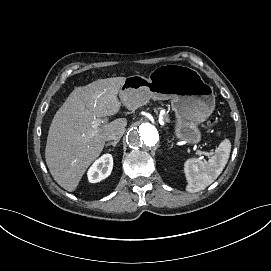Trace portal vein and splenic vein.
<instances>
[{"instance_id":"1","label":"portal vein and splenic vein","mask_w":271,"mask_h":271,"mask_svg":"<svg viewBox=\"0 0 271 271\" xmlns=\"http://www.w3.org/2000/svg\"><path fill=\"white\" fill-rule=\"evenodd\" d=\"M197 154H198V155H202V154H204V155H208V154H209V155H211V154L214 155L215 153H214V152H212V153L209 152V153H208V152H205V151L202 152V151L198 150V151H197ZM200 158H202V157H200Z\"/></svg>"}]
</instances>
